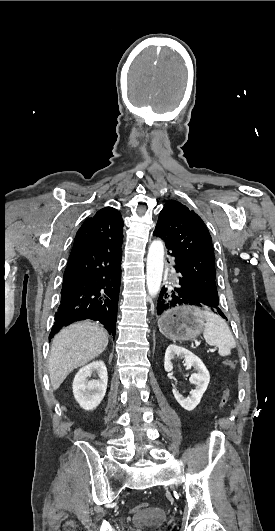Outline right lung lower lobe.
Wrapping results in <instances>:
<instances>
[{
	"label": "right lung lower lobe",
	"mask_w": 275,
	"mask_h": 531,
	"mask_svg": "<svg viewBox=\"0 0 275 531\" xmlns=\"http://www.w3.org/2000/svg\"><path fill=\"white\" fill-rule=\"evenodd\" d=\"M121 245L122 240L103 239L71 251L49 339L62 327L86 319L100 321L115 336Z\"/></svg>",
	"instance_id": "98d812e1"
}]
</instances>
